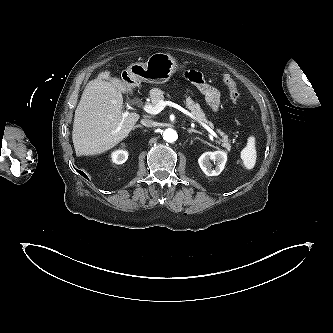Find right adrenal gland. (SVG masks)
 I'll return each instance as SVG.
<instances>
[{
	"label": "right adrenal gland",
	"instance_id": "1",
	"mask_svg": "<svg viewBox=\"0 0 333 333\" xmlns=\"http://www.w3.org/2000/svg\"><path fill=\"white\" fill-rule=\"evenodd\" d=\"M135 128H142V126H141V125H135V126L133 127V130H135Z\"/></svg>",
	"mask_w": 333,
	"mask_h": 333
}]
</instances>
